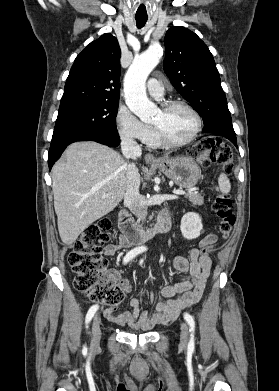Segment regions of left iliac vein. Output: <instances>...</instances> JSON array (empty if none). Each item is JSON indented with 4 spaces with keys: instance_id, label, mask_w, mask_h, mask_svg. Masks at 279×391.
Masks as SVG:
<instances>
[{
    "instance_id": "1",
    "label": "left iliac vein",
    "mask_w": 279,
    "mask_h": 391,
    "mask_svg": "<svg viewBox=\"0 0 279 391\" xmlns=\"http://www.w3.org/2000/svg\"><path fill=\"white\" fill-rule=\"evenodd\" d=\"M188 326L185 322H181V332H180V346L186 348L188 344Z\"/></svg>"
}]
</instances>
